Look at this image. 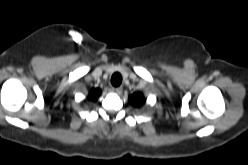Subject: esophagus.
I'll use <instances>...</instances> for the list:
<instances>
[{
  "instance_id": "34e87169",
  "label": "esophagus",
  "mask_w": 248,
  "mask_h": 165,
  "mask_svg": "<svg viewBox=\"0 0 248 165\" xmlns=\"http://www.w3.org/2000/svg\"><path fill=\"white\" fill-rule=\"evenodd\" d=\"M122 91H123V88L122 87H117V88L114 89V92L116 94H118V95H120L122 93Z\"/></svg>"
}]
</instances>
